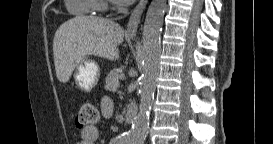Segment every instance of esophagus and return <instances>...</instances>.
Wrapping results in <instances>:
<instances>
[{"mask_svg":"<svg viewBox=\"0 0 273 144\" xmlns=\"http://www.w3.org/2000/svg\"><path fill=\"white\" fill-rule=\"evenodd\" d=\"M147 2L148 0H140L135 9L132 11L127 26L128 35L130 36L136 35L141 16L146 8Z\"/></svg>","mask_w":273,"mask_h":144,"instance_id":"obj_1","label":"esophagus"}]
</instances>
